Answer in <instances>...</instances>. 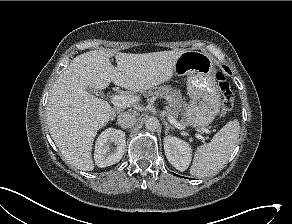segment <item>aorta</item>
<instances>
[{"label":"aorta","instance_id":"1","mask_svg":"<svg viewBox=\"0 0 292 224\" xmlns=\"http://www.w3.org/2000/svg\"><path fill=\"white\" fill-rule=\"evenodd\" d=\"M145 127L148 131H156L159 127V121L155 117H149L145 122Z\"/></svg>","mask_w":292,"mask_h":224}]
</instances>
